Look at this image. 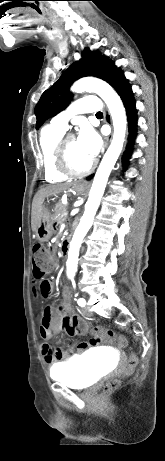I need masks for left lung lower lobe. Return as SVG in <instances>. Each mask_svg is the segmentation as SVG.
<instances>
[{
  "mask_svg": "<svg viewBox=\"0 0 165 461\" xmlns=\"http://www.w3.org/2000/svg\"><path fill=\"white\" fill-rule=\"evenodd\" d=\"M118 95L121 97L124 106L126 108V113L128 117V122H129V132H130V144L128 145V149L125 152L123 156V161L126 163L127 159L130 157V146L132 139L134 138L135 134V128L137 124V115H136V107H135V101L132 93L131 86L129 85L128 81L126 80L123 72H121L113 81L111 85ZM92 176H89L88 178H91Z\"/></svg>",
  "mask_w": 165,
  "mask_h": 461,
  "instance_id": "0a47b994",
  "label": "left lung lower lobe"
}]
</instances>
